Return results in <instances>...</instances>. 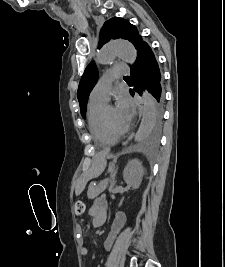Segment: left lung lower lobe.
Listing matches in <instances>:
<instances>
[{"label": "left lung lower lobe", "mask_w": 225, "mask_h": 267, "mask_svg": "<svg viewBox=\"0 0 225 267\" xmlns=\"http://www.w3.org/2000/svg\"><path fill=\"white\" fill-rule=\"evenodd\" d=\"M131 79L134 83L130 94L134 96L135 92L142 94L143 89L153 96L155 104L163 108L164 93L162 88V76L156 58L150 46L144 41H139L137 47V58L131 66Z\"/></svg>", "instance_id": "1"}]
</instances>
